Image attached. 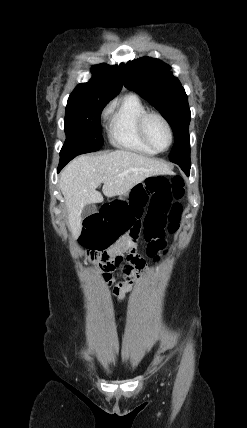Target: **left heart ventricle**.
I'll return each instance as SVG.
<instances>
[{
    "mask_svg": "<svg viewBox=\"0 0 247 428\" xmlns=\"http://www.w3.org/2000/svg\"><path fill=\"white\" fill-rule=\"evenodd\" d=\"M147 132L151 142L158 149H164L169 143L168 131L161 120L158 118H151L147 124Z\"/></svg>",
    "mask_w": 247,
    "mask_h": 428,
    "instance_id": "obj_1",
    "label": "left heart ventricle"
}]
</instances>
